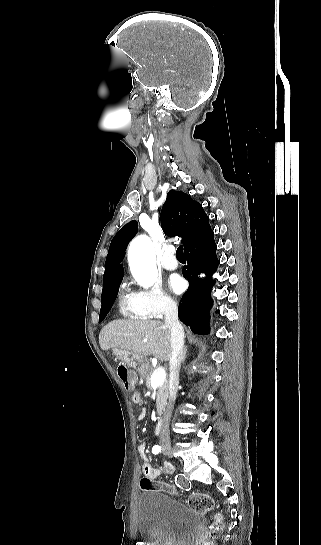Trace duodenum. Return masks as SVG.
Listing matches in <instances>:
<instances>
[{
	"label": "duodenum",
	"mask_w": 321,
	"mask_h": 545,
	"mask_svg": "<svg viewBox=\"0 0 321 545\" xmlns=\"http://www.w3.org/2000/svg\"><path fill=\"white\" fill-rule=\"evenodd\" d=\"M162 427H163V418L160 417L156 423V427H155V432L157 435L161 434V431H162Z\"/></svg>",
	"instance_id": "duodenum-1"
}]
</instances>
